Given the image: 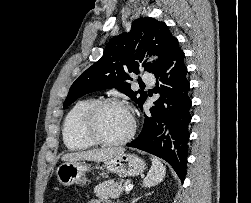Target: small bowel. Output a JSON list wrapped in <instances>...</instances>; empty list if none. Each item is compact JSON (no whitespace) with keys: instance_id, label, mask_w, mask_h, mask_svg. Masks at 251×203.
I'll use <instances>...</instances> for the list:
<instances>
[{"instance_id":"c3829d8e","label":"small bowel","mask_w":251,"mask_h":203,"mask_svg":"<svg viewBox=\"0 0 251 203\" xmlns=\"http://www.w3.org/2000/svg\"><path fill=\"white\" fill-rule=\"evenodd\" d=\"M88 203H102V202L97 199H91Z\"/></svg>"}]
</instances>
